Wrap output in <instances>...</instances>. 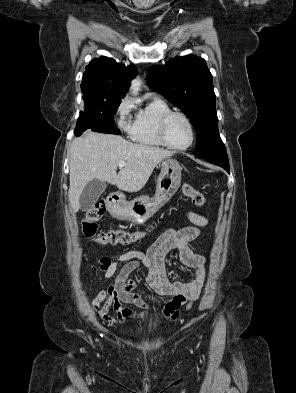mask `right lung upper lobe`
<instances>
[{
	"label": "right lung upper lobe",
	"mask_w": 296,
	"mask_h": 393,
	"mask_svg": "<svg viewBox=\"0 0 296 393\" xmlns=\"http://www.w3.org/2000/svg\"><path fill=\"white\" fill-rule=\"evenodd\" d=\"M137 74L134 65L128 67L118 64L108 57L92 60L83 74L81 91L83 99L123 98L128 91L131 79Z\"/></svg>",
	"instance_id": "cb5924a9"
}]
</instances>
